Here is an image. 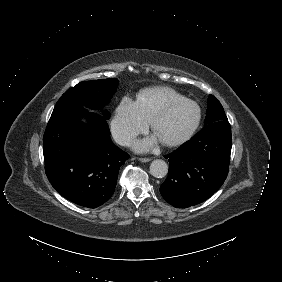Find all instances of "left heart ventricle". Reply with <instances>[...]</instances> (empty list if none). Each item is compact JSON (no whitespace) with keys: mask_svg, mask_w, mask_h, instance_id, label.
Returning <instances> with one entry per match:
<instances>
[{"mask_svg":"<svg viewBox=\"0 0 282 282\" xmlns=\"http://www.w3.org/2000/svg\"><path fill=\"white\" fill-rule=\"evenodd\" d=\"M195 115L196 108L192 104H186L175 108L158 123L156 134L160 139L172 140L187 129L194 120Z\"/></svg>","mask_w":282,"mask_h":282,"instance_id":"obj_1","label":"left heart ventricle"}]
</instances>
